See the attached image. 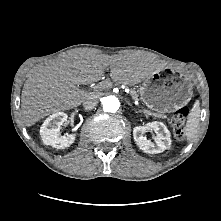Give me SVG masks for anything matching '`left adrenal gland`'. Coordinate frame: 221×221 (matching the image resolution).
<instances>
[{"label":"left adrenal gland","instance_id":"left-adrenal-gland-1","mask_svg":"<svg viewBox=\"0 0 221 221\" xmlns=\"http://www.w3.org/2000/svg\"><path fill=\"white\" fill-rule=\"evenodd\" d=\"M128 104H129V105H132L129 101H128Z\"/></svg>","mask_w":221,"mask_h":221}]
</instances>
